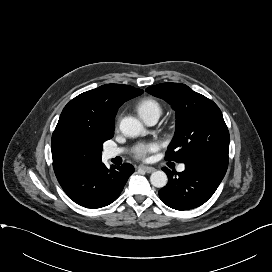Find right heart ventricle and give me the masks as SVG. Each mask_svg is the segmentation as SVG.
<instances>
[{
    "label": "right heart ventricle",
    "mask_w": 272,
    "mask_h": 272,
    "mask_svg": "<svg viewBox=\"0 0 272 272\" xmlns=\"http://www.w3.org/2000/svg\"><path fill=\"white\" fill-rule=\"evenodd\" d=\"M137 112L142 119L150 116H160L162 107L160 103L153 98H145L137 104Z\"/></svg>",
    "instance_id": "obj_1"
}]
</instances>
